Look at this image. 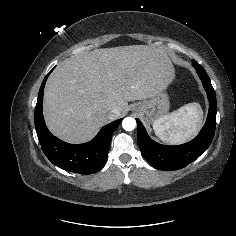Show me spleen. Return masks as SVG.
Instances as JSON below:
<instances>
[{"label":"spleen","instance_id":"3e777b00","mask_svg":"<svg viewBox=\"0 0 236 236\" xmlns=\"http://www.w3.org/2000/svg\"><path fill=\"white\" fill-rule=\"evenodd\" d=\"M203 112L198 103H188L153 123L155 135L169 144H182L191 139L202 123Z\"/></svg>","mask_w":236,"mask_h":236}]
</instances>
